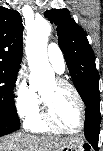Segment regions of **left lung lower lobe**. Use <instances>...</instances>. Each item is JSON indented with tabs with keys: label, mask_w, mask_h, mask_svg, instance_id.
<instances>
[{
	"label": "left lung lower lobe",
	"mask_w": 103,
	"mask_h": 151,
	"mask_svg": "<svg viewBox=\"0 0 103 151\" xmlns=\"http://www.w3.org/2000/svg\"><path fill=\"white\" fill-rule=\"evenodd\" d=\"M82 99L86 106L85 137L91 146L97 150L101 122L99 80L89 81Z\"/></svg>",
	"instance_id": "1"
}]
</instances>
